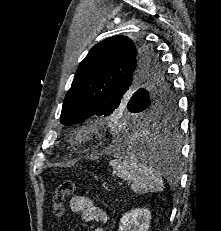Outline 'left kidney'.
Returning <instances> with one entry per match:
<instances>
[{
    "mask_svg": "<svg viewBox=\"0 0 221 231\" xmlns=\"http://www.w3.org/2000/svg\"><path fill=\"white\" fill-rule=\"evenodd\" d=\"M150 220L151 212L148 209H133L120 219L119 231H148Z\"/></svg>",
    "mask_w": 221,
    "mask_h": 231,
    "instance_id": "left-kidney-1",
    "label": "left kidney"
}]
</instances>
